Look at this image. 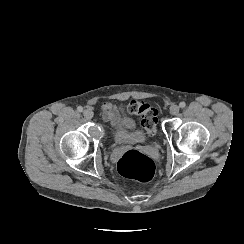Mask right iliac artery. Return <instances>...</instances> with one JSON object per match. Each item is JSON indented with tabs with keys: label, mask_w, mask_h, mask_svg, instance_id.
Returning a JSON list of instances; mask_svg holds the SVG:
<instances>
[{
	"label": "right iliac artery",
	"mask_w": 244,
	"mask_h": 244,
	"mask_svg": "<svg viewBox=\"0 0 244 244\" xmlns=\"http://www.w3.org/2000/svg\"><path fill=\"white\" fill-rule=\"evenodd\" d=\"M77 111H78V112H82V111H83V107L79 106V107L77 108Z\"/></svg>",
	"instance_id": "1"
}]
</instances>
